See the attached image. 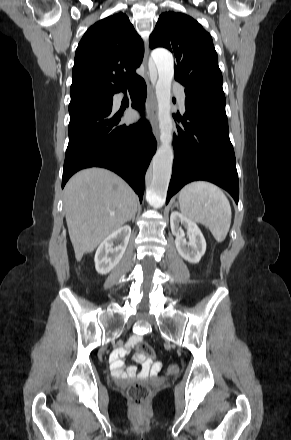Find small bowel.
Masks as SVG:
<instances>
[{"mask_svg": "<svg viewBox=\"0 0 291 440\" xmlns=\"http://www.w3.org/2000/svg\"><path fill=\"white\" fill-rule=\"evenodd\" d=\"M139 340V335L132 336L121 348L117 349V353L122 354L129 352ZM117 353L111 358V371L117 378H152L157 376L161 370L162 365L160 363L153 362L150 358L146 359L145 357L136 358V361L141 363V369L139 371L135 366L125 367L124 362L117 356ZM173 369L179 372L182 370V366L176 363Z\"/></svg>", "mask_w": 291, "mask_h": 440, "instance_id": "c3829d8e", "label": "small bowel"}]
</instances>
